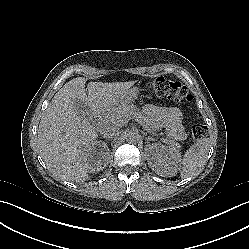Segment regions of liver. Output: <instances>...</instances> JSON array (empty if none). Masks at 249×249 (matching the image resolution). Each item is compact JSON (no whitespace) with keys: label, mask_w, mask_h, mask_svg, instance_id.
<instances>
[{"label":"liver","mask_w":249,"mask_h":249,"mask_svg":"<svg viewBox=\"0 0 249 249\" xmlns=\"http://www.w3.org/2000/svg\"><path fill=\"white\" fill-rule=\"evenodd\" d=\"M74 79L53 98L38 132L41 156L51 166L86 178L98 133L89 115L111 112L127 94L130 84H112ZM87 92V93H86ZM85 109V110H84Z\"/></svg>","instance_id":"1"}]
</instances>
